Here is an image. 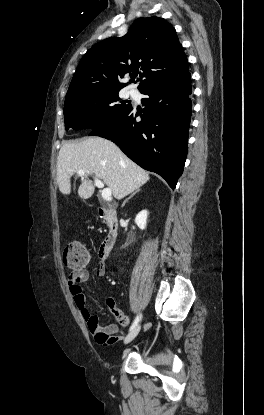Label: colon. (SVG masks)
Wrapping results in <instances>:
<instances>
[{"mask_svg": "<svg viewBox=\"0 0 264 415\" xmlns=\"http://www.w3.org/2000/svg\"><path fill=\"white\" fill-rule=\"evenodd\" d=\"M62 262L66 269L74 271L88 267L92 263V257L81 243L72 242L65 247ZM117 316L120 318L118 314Z\"/></svg>", "mask_w": 264, "mask_h": 415, "instance_id": "1", "label": "colon"}]
</instances>
